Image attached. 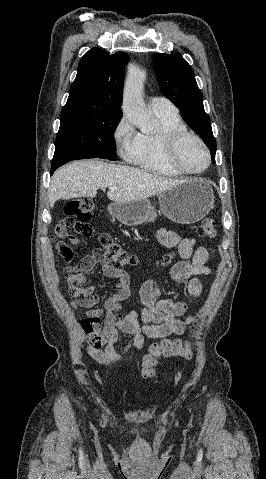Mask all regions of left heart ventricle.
<instances>
[{"mask_svg":"<svg viewBox=\"0 0 266 479\" xmlns=\"http://www.w3.org/2000/svg\"><path fill=\"white\" fill-rule=\"evenodd\" d=\"M180 162L188 169H201L206 164V154L201 145L194 139L184 140L178 152Z\"/></svg>","mask_w":266,"mask_h":479,"instance_id":"1","label":"left heart ventricle"}]
</instances>
